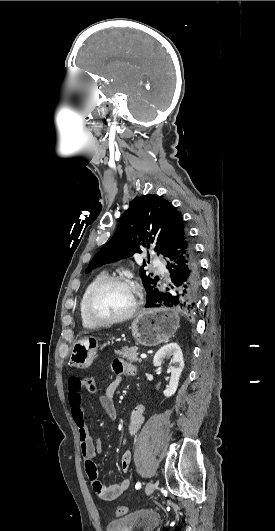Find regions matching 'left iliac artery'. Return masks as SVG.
<instances>
[{"label":"left iliac artery","instance_id":"1","mask_svg":"<svg viewBox=\"0 0 275 531\" xmlns=\"http://www.w3.org/2000/svg\"><path fill=\"white\" fill-rule=\"evenodd\" d=\"M135 488H136L137 490H139V489L141 488V483H140V482H137L136 485H135Z\"/></svg>","mask_w":275,"mask_h":531}]
</instances>
